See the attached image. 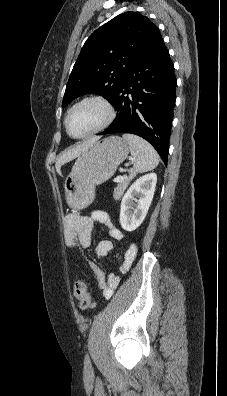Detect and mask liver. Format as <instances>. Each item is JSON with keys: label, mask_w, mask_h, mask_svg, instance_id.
<instances>
[{"label": "liver", "mask_w": 227, "mask_h": 396, "mask_svg": "<svg viewBox=\"0 0 227 396\" xmlns=\"http://www.w3.org/2000/svg\"><path fill=\"white\" fill-rule=\"evenodd\" d=\"M98 139L97 138H93L90 140H87L85 142H83L82 144H79L78 146L68 150L67 152H65L56 162V171L61 174V166L71 160H73L74 158L78 157L81 153H83L84 151H86L92 144H94Z\"/></svg>", "instance_id": "obj_1"}]
</instances>
